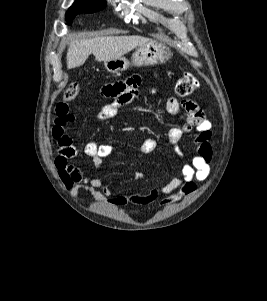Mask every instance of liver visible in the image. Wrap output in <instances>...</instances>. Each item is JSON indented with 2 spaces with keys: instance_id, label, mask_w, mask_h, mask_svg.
Masks as SVG:
<instances>
[{
  "instance_id": "liver-1",
  "label": "liver",
  "mask_w": 267,
  "mask_h": 301,
  "mask_svg": "<svg viewBox=\"0 0 267 301\" xmlns=\"http://www.w3.org/2000/svg\"><path fill=\"white\" fill-rule=\"evenodd\" d=\"M152 41L142 36H104L76 40L67 51V68L72 69L85 63L90 54L97 61H110L130 52L132 49Z\"/></svg>"
}]
</instances>
